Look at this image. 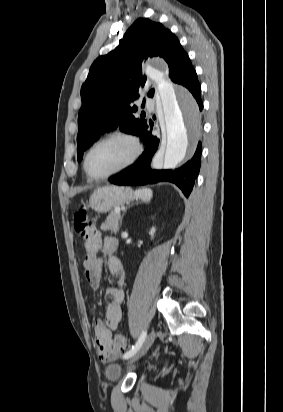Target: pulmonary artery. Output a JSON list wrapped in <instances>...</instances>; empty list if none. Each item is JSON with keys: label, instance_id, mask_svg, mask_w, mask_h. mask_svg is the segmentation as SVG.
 <instances>
[{"label": "pulmonary artery", "instance_id": "e3ab8cb5", "mask_svg": "<svg viewBox=\"0 0 283 412\" xmlns=\"http://www.w3.org/2000/svg\"><path fill=\"white\" fill-rule=\"evenodd\" d=\"M145 102L147 103V105H150V104H151V100H150L149 98H146V99H145Z\"/></svg>", "mask_w": 283, "mask_h": 412}]
</instances>
